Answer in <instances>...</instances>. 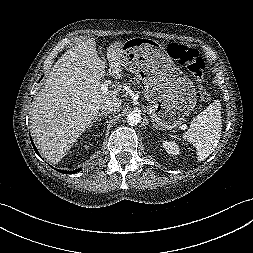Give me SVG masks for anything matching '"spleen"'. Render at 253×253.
<instances>
[{"label":"spleen","instance_id":"obj_1","mask_svg":"<svg viewBox=\"0 0 253 253\" xmlns=\"http://www.w3.org/2000/svg\"><path fill=\"white\" fill-rule=\"evenodd\" d=\"M222 130L221 103L214 100L191 122L183 139L193 144L199 162L204 161L217 147Z\"/></svg>","mask_w":253,"mask_h":253}]
</instances>
